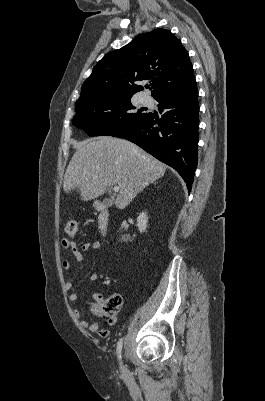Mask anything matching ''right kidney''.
I'll list each match as a JSON object with an SVG mask.
<instances>
[{
  "label": "right kidney",
  "instance_id": "ca27d5eb",
  "mask_svg": "<svg viewBox=\"0 0 265 401\" xmlns=\"http://www.w3.org/2000/svg\"><path fill=\"white\" fill-rule=\"evenodd\" d=\"M147 223H148V217L146 213H140L139 217H137V227L140 233H145Z\"/></svg>",
  "mask_w": 265,
  "mask_h": 401
}]
</instances>
